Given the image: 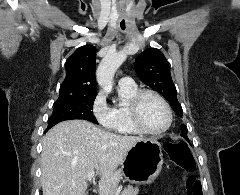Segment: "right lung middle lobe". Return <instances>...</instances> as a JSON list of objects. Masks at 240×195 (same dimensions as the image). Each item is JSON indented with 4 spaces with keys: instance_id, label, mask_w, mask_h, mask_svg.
<instances>
[{
    "instance_id": "1",
    "label": "right lung middle lobe",
    "mask_w": 240,
    "mask_h": 195,
    "mask_svg": "<svg viewBox=\"0 0 240 195\" xmlns=\"http://www.w3.org/2000/svg\"><path fill=\"white\" fill-rule=\"evenodd\" d=\"M95 98L96 96L59 97L55 102L47 130L61 121L72 119H84L98 124L92 112Z\"/></svg>"
}]
</instances>
